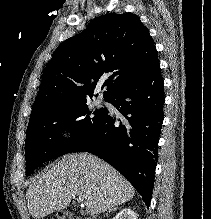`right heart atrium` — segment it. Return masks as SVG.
Returning <instances> with one entry per match:
<instances>
[{
    "label": "right heart atrium",
    "instance_id": "obj_1",
    "mask_svg": "<svg viewBox=\"0 0 211 219\" xmlns=\"http://www.w3.org/2000/svg\"><path fill=\"white\" fill-rule=\"evenodd\" d=\"M75 125L72 121H63L56 130V138L61 143H70L75 137Z\"/></svg>",
    "mask_w": 211,
    "mask_h": 219
}]
</instances>
